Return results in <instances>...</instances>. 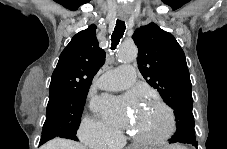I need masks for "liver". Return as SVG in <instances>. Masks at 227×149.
<instances>
[{"label":"liver","mask_w":227,"mask_h":149,"mask_svg":"<svg viewBox=\"0 0 227 149\" xmlns=\"http://www.w3.org/2000/svg\"><path fill=\"white\" fill-rule=\"evenodd\" d=\"M41 149H86V147L74 141L56 138L43 145Z\"/></svg>","instance_id":"liver-1"}]
</instances>
